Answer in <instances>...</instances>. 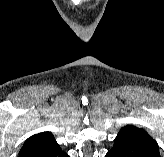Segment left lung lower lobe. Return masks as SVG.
<instances>
[{
  "mask_svg": "<svg viewBox=\"0 0 164 157\" xmlns=\"http://www.w3.org/2000/svg\"><path fill=\"white\" fill-rule=\"evenodd\" d=\"M105 157H161L159 150L135 138L117 136L113 148Z\"/></svg>",
  "mask_w": 164,
  "mask_h": 157,
  "instance_id": "0a47b994",
  "label": "left lung lower lobe"
}]
</instances>
